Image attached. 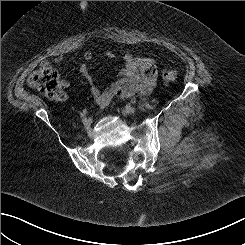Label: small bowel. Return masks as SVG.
<instances>
[{
    "mask_svg": "<svg viewBox=\"0 0 245 245\" xmlns=\"http://www.w3.org/2000/svg\"><path fill=\"white\" fill-rule=\"evenodd\" d=\"M92 54L86 52L84 58L91 59ZM109 58H113L114 54H108ZM62 60L61 55H55L53 62L59 63ZM124 69L120 72L112 84L105 90H101L94 84L90 70L86 65L79 68L80 74L90 85L91 94L95 102L99 105L100 110L105 109L110 101L115 97L128 98L134 95H148L152 92L156 84V66L152 59L141 56L126 54L123 57ZM61 86L68 88L69 83L62 81ZM65 94L62 93L59 100H64Z\"/></svg>",
    "mask_w": 245,
    "mask_h": 245,
    "instance_id": "obj_1",
    "label": "small bowel"
}]
</instances>
